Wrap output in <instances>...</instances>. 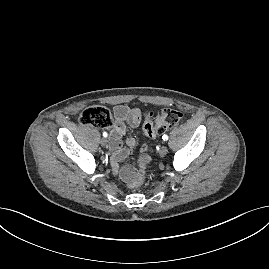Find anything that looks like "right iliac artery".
Returning <instances> with one entry per match:
<instances>
[{
	"instance_id": "82829eb1",
	"label": "right iliac artery",
	"mask_w": 269,
	"mask_h": 269,
	"mask_svg": "<svg viewBox=\"0 0 269 269\" xmlns=\"http://www.w3.org/2000/svg\"><path fill=\"white\" fill-rule=\"evenodd\" d=\"M103 136L107 137L108 136L107 132H103Z\"/></svg>"
}]
</instances>
